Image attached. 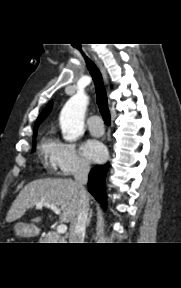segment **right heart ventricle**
I'll use <instances>...</instances> for the list:
<instances>
[{
	"instance_id": "obj_1",
	"label": "right heart ventricle",
	"mask_w": 181,
	"mask_h": 288,
	"mask_svg": "<svg viewBox=\"0 0 181 288\" xmlns=\"http://www.w3.org/2000/svg\"><path fill=\"white\" fill-rule=\"evenodd\" d=\"M47 143H48V142H44V143H43V149H44V150H45V148H46Z\"/></svg>"
}]
</instances>
